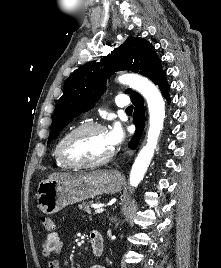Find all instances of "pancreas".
<instances>
[{
	"mask_svg": "<svg viewBox=\"0 0 221 268\" xmlns=\"http://www.w3.org/2000/svg\"><path fill=\"white\" fill-rule=\"evenodd\" d=\"M91 204L92 202H83L78 207L80 210L86 211L87 213L91 214Z\"/></svg>",
	"mask_w": 221,
	"mask_h": 268,
	"instance_id": "cf45deb5",
	"label": "pancreas"
}]
</instances>
